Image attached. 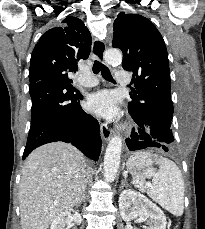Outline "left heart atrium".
I'll list each match as a JSON object with an SVG mask.
<instances>
[{"mask_svg": "<svg viewBox=\"0 0 205 229\" xmlns=\"http://www.w3.org/2000/svg\"><path fill=\"white\" fill-rule=\"evenodd\" d=\"M87 109L99 116L112 118L118 112L117 98L108 90L96 92L88 97Z\"/></svg>", "mask_w": 205, "mask_h": 229, "instance_id": "1", "label": "left heart atrium"}]
</instances>
